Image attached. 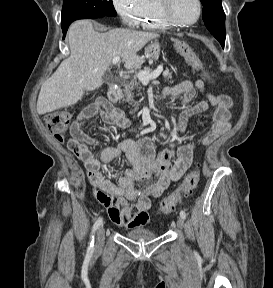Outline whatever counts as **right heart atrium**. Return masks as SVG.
Wrapping results in <instances>:
<instances>
[{
  "instance_id": "right-heart-atrium-1",
  "label": "right heart atrium",
  "mask_w": 273,
  "mask_h": 288,
  "mask_svg": "<svg viewBox=\"0 0 273 288\" xmlns=\"http://www.w3.org/2000/svg\"><path fill=\"white\" fill-rule=\"evenodd\" d=\"M112 4L123 23L128 26H136L138 24L144 0H112Z\"/></svg>"
}]
</instances>
